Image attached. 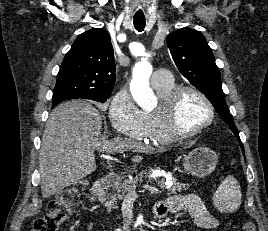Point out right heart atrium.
I'll return each instance as SVG.
<instances>
[{
    "label": "right heart atrium",
    "instance_id": "d8ad5b80",
    "mask_svg": "<svg viewBox=\"0 0 268 231\" xmlns=\"http://www.w3.org/2000/svg\"><path fill=\"white\" fill-rule=\"evenodd\" d=\"M108 116L116 132L138 141L145 140L143 112L135 104L127 89L121 88L112 96L108 106Z\"/></svg>",
    "mask_w": 268,
    "mask_h": 231
}]
</instances>
